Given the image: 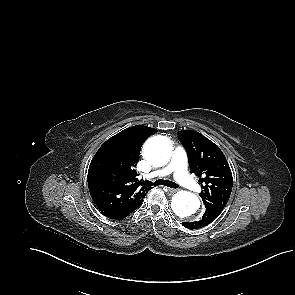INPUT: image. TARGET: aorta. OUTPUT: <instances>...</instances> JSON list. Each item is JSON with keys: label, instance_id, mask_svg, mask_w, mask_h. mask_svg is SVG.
Listing matches in <instances>:
<instances>
[{"label": "aorta", "instance_id": "obj_1", "mask_svg": "<svg viewBox=\"0 0 295 295\" xmlns=\"http://www.w3.org/2000/svg\"><path fill=\"white\" fill-rule=\"evenodd\" d=\"M171 145L163 136H154L148 139L144 145L146 159L156 167L164 166L171 157ZM173 212L186 221H196L200 217V201L198 197L188 191L177 192L171 202Z\"/></svg>", "mask_w": 295, "mask_h": 295}]
</instances>
